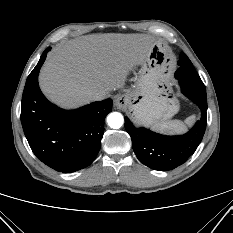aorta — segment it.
Wrapping results in <instances>:
<instances>
[{
    "mask_svg": "<svg viewBox=\"0 0 233 233\" xmlns=\"http://www.w3.org/2000/svg\"><path fill=\"white\" fill-rule=\"evenodd\" d=\"M107 123L113 129H119L123 123L124 118L119 112H112L107 116Z\"/></svg>",
    "mask_w": 233,
    "mask_h": 233,
    "instance_id": "obj_1",
    "label": "aorta"
}]
</instances>
